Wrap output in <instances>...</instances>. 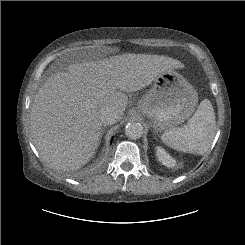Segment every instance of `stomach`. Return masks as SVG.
Masks as SVG:
<instances>
[{"label":"stomach","instance_id":"0dacf381","mask_svg":"<svg viewBox=\"0 0 245 245\" xmlns=\"http://www.w3.org/2000/svg\"><path fill=\"white\" fill-rule=\"evenodd\" d=\"M198 95L177 71L159 74L137 109L148 117L154 130L167 131L185 122L195 111Z\"/></svg>","mask_w":245,"mask_h":245}]
</instances>
